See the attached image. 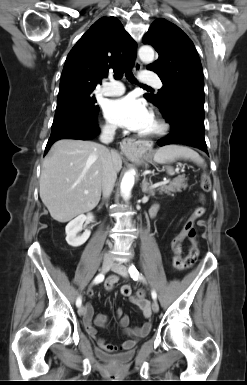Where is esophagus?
Masks as SVG:
<instances>
[{"label": "esophagus", "instance_id": "obj_1", "mask_svg": "<svg viewBox=\"0 0 247 385\" xmlns=\"http://www.w3.org/2000/svg\"><path fill=\"white\" fill-rule=\"evenodd\" d=\"M142 69L141 62L137 59L134 64V71L139 72ZM141 144L139 141L126 138L121 143V149L125 154H132L134 151L140 149Z\"/></svg>", "mask_w": 247, "mask_h": 385}]
</instances>
